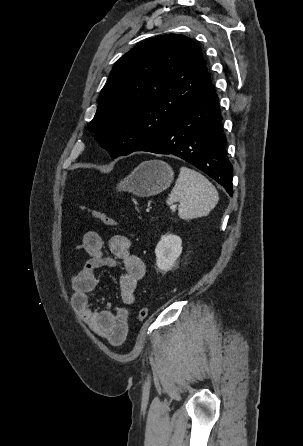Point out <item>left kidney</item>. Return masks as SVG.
<instances>
[{
	"instance_id": "5707ae66",
	"label": "left kidney",
	"mask_w": 303,
	"mask_h": 446,
	"mask_svg": "<svg viewBox=\"0 0 303 446\" xmlns=\"http://www.w3.org/2000/svg\"><path fill=\"white\" fill-rule=\"evenodd\" d=\"M181 245L182 240L179 236L171 234L162 236L155 249L156 265L159 270L166 272L172 269L182 253Z\"/></svg>"
}]
</instances>
